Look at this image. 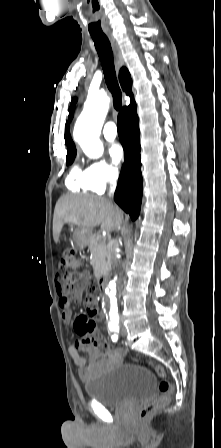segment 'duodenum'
<instances>
[{
	"label": "duodenum",
	"mask_w": 221,
	"mask_h": 448,
	"mask_svg": "<svg viewBox=\"0 0 221 448\" xmlns=\"http://www.w3.org/2000/svg\"><path fill=\"white\" fill-rule=\"evenodd\" d=\"M95 278L98 282L99 289L101 291H104V289L106 287V283H107L106 275L104 273H97L95 275Z\"/></svg>",
	"instance_id": "obj_1"
}]
</instances>
